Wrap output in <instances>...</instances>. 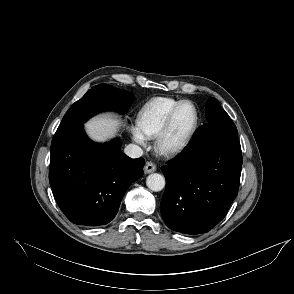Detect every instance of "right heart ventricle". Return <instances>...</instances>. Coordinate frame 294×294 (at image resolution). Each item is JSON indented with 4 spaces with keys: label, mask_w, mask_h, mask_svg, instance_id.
Instances as JSON below:
<instances>
[{
    "label": "right heart ventricle",
    "mask_w": 294,
    "mask_h": 294,
    "mask_svg": "<svg viewBox=\"0 0 294 294\" xmlns=\"http://www.w3.org/2000/svg\"><path fill=\"white\" fill-rule=\"evenodd\" d=\"M182 100L156 97L146 102L136 119L137 129L145 139H152L165 121L170 111Z\"/></svg>",
    "instance_id": "e07e8e85"
}]
</instances>
